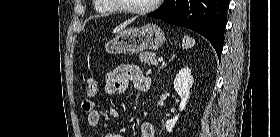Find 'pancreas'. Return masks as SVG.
Masks as SVG:
<instances>
[{
	"instance_id": "cf45deb5",
	"label": "pancreas",
	"mask_w": 280,
	"mask_h": 137,
	"mask_svg": "<svg viewBox=\"0 0 280 137\" xmlns=\"http://www.w3.org/2000/svg\"><path fill=\"white\" fill-rule=\"evenodd\" d=\"M140 60H141V62L146 63L148 65H156L157 64L156 56H155L154 53L145 52V53L140 55Z\"/></svg>"
}]
</instances>
